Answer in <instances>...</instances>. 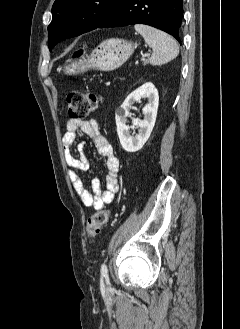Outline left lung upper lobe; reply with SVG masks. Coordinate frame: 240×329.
I'll return each mask as SVG.
<instances>
[{
    "label": "left lung upper lobe",
    "mask_w": 240,
    "mask_h": 329,
    "mask_svg": "<svg viewBox=\"0 0 240 329\" xmlns=\"http://www.w3.org/2000/svg\"><path fill=\"white\" fill-rule=\"evenodd\" d=\"M121 0H56L48 26V46L96 29Z\"/></svg>",
    "instance_id": "obj_1"
}]
</instances>
